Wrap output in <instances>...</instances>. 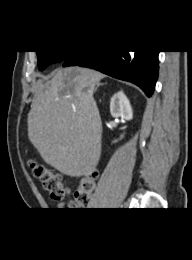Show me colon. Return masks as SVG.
Segmentation results:
<instances>
[{"label": "colon", "instance_id": "5ec220e1", "mask_svg": "<svg viewBox=\"0 0 192 260\" xmlns=\"http://www.w3.org/2000/svg\"><path fill=\"white\" fill-rule=\"evenodd\" d=\"M29 166L34 177L40 180L43 189L48 192L52 200L62 201L65 199L69 189L64 185L62 177L58 173L35 160H30ZM96 177L97 173L94 172L80 181V184L74 193L71 206L86 207L90 203V197L94 189Z\"/></svg>", "mask_w": 192, "mask_h": 260}]
</instances>
